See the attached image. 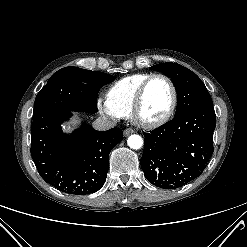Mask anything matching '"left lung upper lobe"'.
Masks as SVG:
<instances>
[{"label":"left lung upper lobe","mask_w":247,"mask_h":247,"mask_svg":"<svg viewBox=\"0 0 247 247\" xmlns=\"http://www.w3.org/2000/svg\"><path fill=\"white\" fill-rule=\"evenodd\" d=\"M152 68L166 73L174 83L177 91L175 116L194 108L213 106L211 96L204 83L191 70L170 62L157 64Z\"/></svg>","instance_id":"left-lung-upper-lobe-1"}]
</instances>
